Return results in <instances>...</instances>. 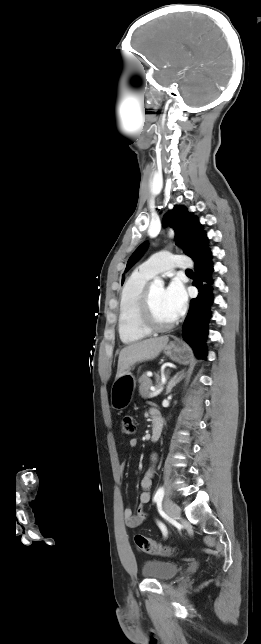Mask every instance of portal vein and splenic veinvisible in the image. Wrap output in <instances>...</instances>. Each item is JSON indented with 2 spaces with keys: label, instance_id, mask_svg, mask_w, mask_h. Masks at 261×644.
I'll return each instance as SVG.
<instances>
[{
  "label": "portal vein and splenic vein",
  "instance_id": "portal-vein-and-splenic-vein-1",
  "mask_svg": "<svg viewBox=\"0 0 261 644\" xmlns=\"http://www.w3.org/2000/svg\"><path fill=\"white\" fill-rule=\"evenodd\" d=\"M162 390H163V386H161V387H159V388H157V389H154V390L150 393V397H156V396H158V395L162 392Z\"/></svg>",
  "mask_w": 261,
  "mask_h": 644
}]
</instances>
